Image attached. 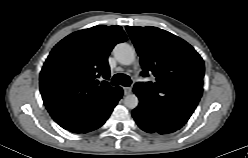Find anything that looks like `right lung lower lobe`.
Returning <instances> with one entry per match:
<instances>
[{
  "instance_id": "obj_1",
  "label": "right lung lower lobe",
  "mask_w": 248,
  "mask_h": 158,
  "mask_svg": "<svg viewBox=\"0 0 248 158\" xmlns=\"http://www.w3.org/2000/svg\"><path fill=\"white\" fill-rule=\"evenodd\" d=\"M122 88L118 87L103 103L96 109L83 116L57 122L62 128L74 133H86L102 126L110 116L112 110L122 97Z\"/></svg>"
}]
</instances>
